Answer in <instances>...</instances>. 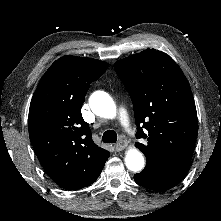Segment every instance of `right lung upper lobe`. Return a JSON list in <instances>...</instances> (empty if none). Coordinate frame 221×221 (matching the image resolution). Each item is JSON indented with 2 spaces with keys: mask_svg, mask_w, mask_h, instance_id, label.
I'll use <instances>...</instances> for the list:
<instances>
[{
  "mask_svg": "<svg viewBox=\"0 0 221 221\" xmlns=\"http://www.w3.org/2000/svg\"><path fill=\"white\" fill-rule=\"evenodd\" d=\"M107 68L92 58L61 57L42 76L31 100V143L46 173L65 189L95 182L110 155L93 142L80 112L90 84Z\"/></svg>",
  "mask_w": 221,
  "mask_h": 221,
  "instance_id": "cb5924a9",
  "label": "right lung upper lobe"
}]
</instances>
